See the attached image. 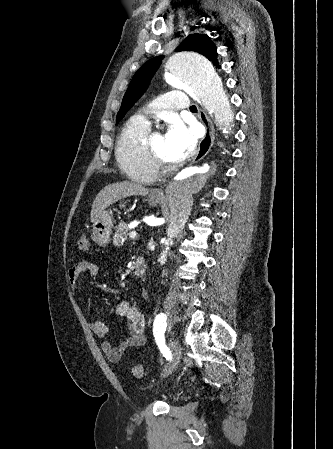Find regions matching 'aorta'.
<instances>
[{"mask_svg": "<svg viewBox=\"0 0 333 449\" xmlns=\"http://www.w3.org/2000/svg\"><path fill=\"white\" fill-rule=\"evenodd\" d=\"M166 82L172 87L195 95L212 119L221 124L231 120L227 95L216 68L203 55L181 51L172 54L166 61ZM223 158L216 156L200 165L189 167L178 174L167 186L166 194L170 207V222L165 238V247L159 261L165 264L173 239L184 228L193 206V197L205 189L218 174Z\"/></svg>", "mask_w": 333, "mask_h": 449, "instance_id": "obj_1", "label": "aorta"}]
</instances>
